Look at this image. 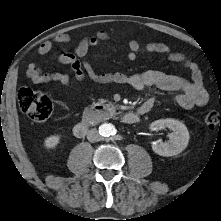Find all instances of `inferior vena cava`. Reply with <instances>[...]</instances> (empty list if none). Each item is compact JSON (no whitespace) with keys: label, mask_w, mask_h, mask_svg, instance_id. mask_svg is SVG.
I'll list each match as a JSON object with an SVG mask.
<instances>
[{"label":"inferior vena cava","mask_w":221,"mask_h":221,"mask_svg":"<svg viewBox=\"0 0 221 221\" xmlns=\"http://www.w3.org/2000/svg\"><path fill=\"white\" fill-rule=\"evenodd\" d=\"M87 139L90 142H98L101 137L96 128L90 129L87 133Z\"/></svg>","instance_id":"1"}]
</instances>
